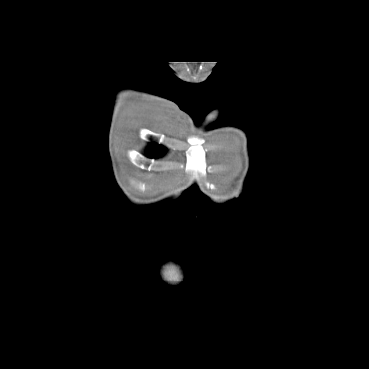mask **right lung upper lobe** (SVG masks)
I'll use <instances>...</instances> for the list:
<instances>
[{
    "label": "right lung upper lobe",
    "instance_id": "obj_1",
    "mask_svg": "<svg viewBox=\"0 0 369 369\" xmlns=\"http://www.w3.org/2000/svg\"><path fill=\"white\" fill-rule=\"evenodd\" d=\"M166 152L165 148L162 145L154 144L148 150L149 157H159Z\"/></svg>",
    "mask_w": 369,
    "mask_h": 369
}]
</instances>
